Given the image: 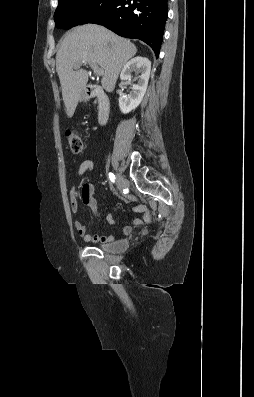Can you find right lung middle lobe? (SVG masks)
I'll use <instances>...</instances> for the list:
<instances>
[{
  "label": "right lung middle lobe",
  "mask_w": 254,
  "mask_h": 397,
  "mask_svg": "<svg viewBox=\"0 0 254 397\" xmlns=\"http://www.w3.org/2000/svg\"><path fill=\"white\" fill-rule=\"evenodd\" d=\"M54 14L57 28L70 29L103 14L114 0H58Z\"/></svg>",
  "instance_id": "dd1d6c3e"
}]
</instances>
